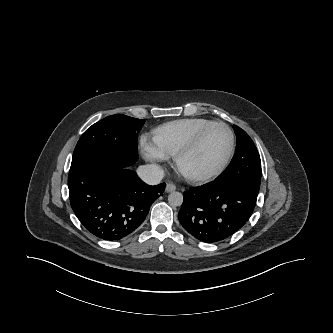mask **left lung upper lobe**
I'll return each mask as SVG.
<instances>
[{
  "label": "left lung upper lobe",
  "mask_w": 333,
  "mask_h": 333,
  "mask_svg": "<svg viewBox=\"0 0 333 333\" xmlns=\"http://www.w3.org/2000/svg\"><path fill=\"white\" fill-rule=\"evenodd\" d=\"M237 148L229 166L216 179L219 183H238L258 193L261 182V161L249 135L233 125Z\"/></svg>",
  "instance_id": "left-lung-upper-lobe-1"
}]
</instances>
